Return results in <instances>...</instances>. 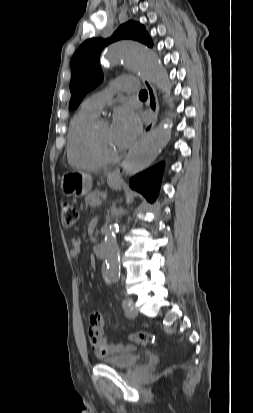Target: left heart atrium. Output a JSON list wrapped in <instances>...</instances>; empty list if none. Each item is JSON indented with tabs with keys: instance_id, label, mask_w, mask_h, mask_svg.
<instances>
[{
	"instance_id": "1",
	"label": "left heart atrium",
	"mask_w": 253,
	"mask_h": 413,
	"mask_svg": "<svg viewBox=\"0 0 253 413\" xmlns=\"http://www.w3.org/2000/svg\"><path fill=\"white\" fill-rule=\"evenodd\" d=\"M111 128L117 146L122 149L137 137L141 130V122L134 110L122 107L116 112Z\"/></svg>"
}]
</instances>
